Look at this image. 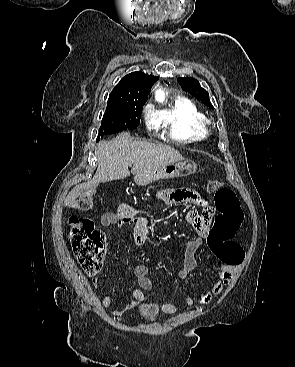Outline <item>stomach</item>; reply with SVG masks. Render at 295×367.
Segmentation results:
<instances>
[{
    "mask_svg": "<svg viewBox=\"0 0 295 367\" xmlns=\"http://www.w3.org/2000/svg\"><path fill=\"white\" fill-rule=\"evenodd\" d=\"M196 167V164L191 161H176L156 170L138 175L134 178V181L137 185H146L158 179L185 177L193 174Z\"/></svg>",
    "mask_w": 295,
    "mask_h": 367,
    "instance_id": "obj_1",
    "label": "stomach"
}]
</instances>
